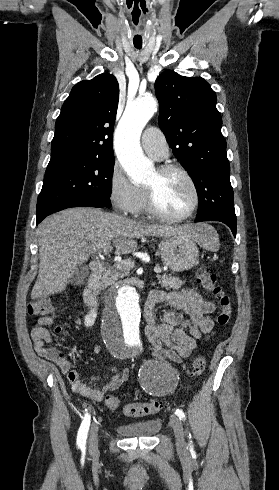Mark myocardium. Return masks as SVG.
<instances>
[{
  "mask_svg": "<svg viewBox=\"0 0 279 490\" xmlns=\"http://www.w3.org/2000/svg\"><path fill=\"white\" fill-rule=\"evenodd\" d=\"M158 172L160 173H168V172H177L180 173L185 177V179L188 181L189 185L191 186L192 192H193V201L191 206L188 208L187 211H185L183 214L178 215V216H172L164 213L159 206L157 205L156 199H155V194H154V188L147 186V204H148V210L150 214H152L154 217L166 221V222H182L186 219H188L190 216H192L195 211L197 210L199 203H200V191L198 188V185L191 175V173L184 168L180 164L176 163H167L159 167Z\"/></svg>",
  "mask_w": 279,
  "mask_h": 490,
  "instance_id": "obj_1",
  "label": "myocardium"
}]
</instances>
